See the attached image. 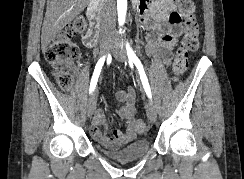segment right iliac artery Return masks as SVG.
I'll return each mask as SVG.
<instances>
[{
	"instance_id": "1",
	"label": "right iliac artery",
	"mask_w": 244,
	"mask_h": 179,
	"mask_svg": "<svg viewBox=\"0 0 244 179\" xmlns=\"http://www.w3.org/2000/svg\"><path fill=\"white\" fill-rule=\"evenodd\" d=\"M105 57L106 56H103L102 58H100L99 61L96 64V66H95V70H94V73H93V76H92V79H91V83H90V88H89V93L90 94L94 91V89L96 87V84H97V81H98L102 66H103L104 61H105ZM109 58H111L110 54H108V59Z\"/></svg>"
}]
</instances>
